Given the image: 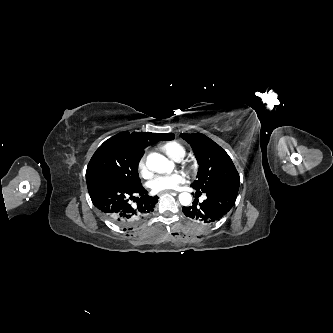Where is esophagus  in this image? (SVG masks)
I'll return each mask as SVG.
<instances>
[{"label":"esophagus","mask_w":333,"mask_h":333,"mask_svg":"<svg viewBox=\"0 0 333 333\" xmlns=\"http://www.w3.org/2000/svg\"><path fill=\"white\" fill-rule=\"evenodd\" d=\"M167 192L171 193V192H174V191H172V190H167V191L161 192L160 195H162L163 193H167Z\"/></svg>","instance_id":"esophagus-1"}]
</instances>
